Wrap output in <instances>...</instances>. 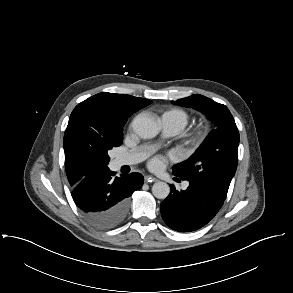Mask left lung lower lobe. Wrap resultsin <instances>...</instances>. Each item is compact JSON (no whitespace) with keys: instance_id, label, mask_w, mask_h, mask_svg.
Wrapping results in <instances>:
<instances>
[{"instance_id":"1","label":"left lung lower lobe","mask_w":293,"mask_h":293,"mask_svg":"<svg viewBox=\"0 0 293 293\" xmlns=\"http://www.w3.org/2000/svg\"><path fill=\"white\" fill-rule=\"evenodd\" d=\"M176 177L174 179L178 180ZM187 181L188 188L180 192L171 185V192L160 207L165 223L178 232H191L206 225L227 196V192L213 185L196 179Z\"/></svg>"}]
</instances>
